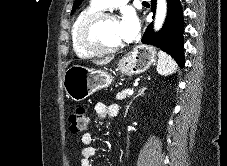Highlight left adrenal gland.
<instances>
[{"mask_svg": "<svg viewBox=\"0 0 227 166\" xmlns=\"http://www.w3.org/2000/svg\"><path fill=\"white\" fill-rule=\"evenodd\" d=\"M145 90H146L145 87H142V88H140V89L138 90L137 95H136L135 97H133V99H132V100L129 102V104L127 105L126 111H125V116L127 115L128 110H129V107L131 106L132 102H133L137 97L144 95Z\"/></svg>", "mask_w": 227, "mask_h": 166, "instance_id": "a2214340", "label": "left adrenal gland"}]
</instances>
